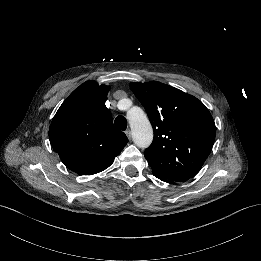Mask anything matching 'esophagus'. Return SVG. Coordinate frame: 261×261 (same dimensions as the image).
I'll list each match as a JSON object with an SVG mask.
<instances>
[{
	"mask_svg": "<svg viewBox=\"0 0 261 261\" xmlns=\"http://www.w3.org/2000/svg\"><path fill=\"white\" fill-rule=\"evenodd\" d=\"M125 134H126V136L128 137V139L131 140V138H132L131 131H130V130H126V131H125Z\"/></svg>",
	"mask_w": 261,
	"mask_h": 261,
	"instance_id": "esophagus-1",
	"label": "esophagus"
}]
</instances>
